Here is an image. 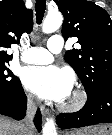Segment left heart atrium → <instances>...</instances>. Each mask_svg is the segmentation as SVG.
<instances>
[{
    "instance_id": "1",
    "label": "left heart atrium",
    "mask_w": 112,
    "mask_h": 135,
    "mask_svg": "<svg viewBox=\"0 0 112 135\" xmlns=\"http://www.w3.org/2000/svg\"><path fill=\"white\" fill-rule=\"evenodd\" d=\"M21 79L27 89L42 99L63 101L69 97L73 77L56 66H30L23 70Z\"/></svg>"
}]
</instances>
